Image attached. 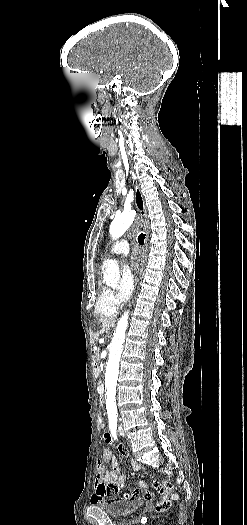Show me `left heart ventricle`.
Returning a JSON list of instances; mask_svg holds the SVG:
<instances>
[{"instance_id":"b2bd125f","label":"left heart ventricle","mask_w":247,"mask_h":525,"mask_svg":"<svg viewBox=\"0 0 247 525\" xmlns=\"http://www.w3.org/2000/svg\"><path fill=\"white\" fill-rule=\"evenodd\" d=\"M125 266H126V265H125V263L123 262V264H122V269H123Z\"/></svg>"}]
</instances>
